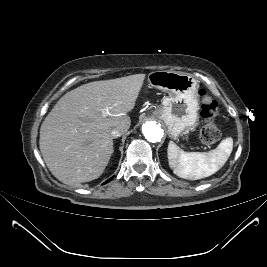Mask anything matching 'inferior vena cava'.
I'll list each match as a JSON object with an SVG mask.
<instances>
[{
    "label": "inferior vena cava",
    "instance_id": "obj_1",
    "mask_svg": "<svg viewBox=\"0 0 267 267\" xmlns=\"http://www.w3.org/2000/svg\"><path fill=\"white\" fill-rule=\"evenodd\" d=\"M124 132V127L117 126L111 129L110 134L112 138L120 137Z\"/></svg>",
    "mask_w": 267,
    "mask_h": 267
}]
</instances>
